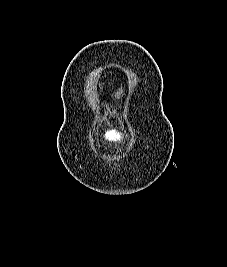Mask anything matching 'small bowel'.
Here are the masks:
<instances>
[{
    "instance_id": "c3829d8e",
    "label": "small bowel",
    "mask_w": 227,
    "mask_h": 267,
    "mask_svg": "<svg viewBox=\"0 0 227 267\" xmlns=\"http://www.w3.org/2000/svg\"><path fill=\"white\" fill-rule=\"evenodd\" d=\"M105 138L109 142H120L124 140V135L116 130H108L105 132Z\"/></svg>"
}]
</instances>
